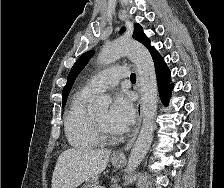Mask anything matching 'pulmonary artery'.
Listing matches in <instances>:
<instances>
[{
    "label": "pulmonary artery",
    "mask_w": 224,
    "mask_h": 188,
    "mask_svg": "<svg viewBox=\"0 0 224 188\" xmlns=\"http://www.w3.org/2000/svg\"><path fill=\"white\" fill-rule=\"evenodd\" d=\"M128 68L124 66H116L107 68L94 75L84 86V90L97 95L108 89L114 88L120 79L128 76Z\"/></svg>",
    "instance_id": "obj_1"
}]
</instances>
